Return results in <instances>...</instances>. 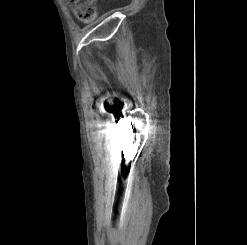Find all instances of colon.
<instances>
[{"instance_id":"obj_1","label":"colon","mask_w":247,"mask_h":245,"mask_svg":"<svg viewBox=\"0 0 247 245\" xmlns=\"http://www.w3.org/2000/svg\"><path fill=\"white\" fill-rule=\"evenodd\" d=\"M67 3L83 23L92 22L97 17L98 0H67Z\"/></svg>"}]
</instances>
